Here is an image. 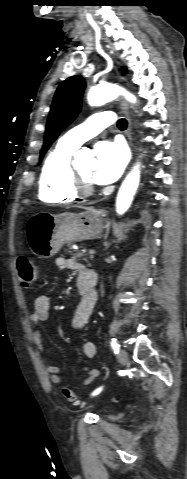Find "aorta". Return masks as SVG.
I'll use <instances>...</instances> for the list:
<instances>
[{"mask_svg":"<svg viewBox=\"0 0 187 479\" xmlns=\"http://www.w3.org/2000/svg\"><path fill=\"white\" fill-rule=\"evenodd\" d=\"M120 94L131 103L136 102V97L124 89L113 85L104 84L93 87L88 92V103L91 106H101L108 101L115 99ZM80 160L81 156L77 157ZM92 169L97 167L95 160L90 161ZM140 181V165L136 164L123 181L116 199V212L124 214L130 207Z\"/></svg>","mask_w":187,"mask_h":479,"instance_id":"aorta-1","label":"aorta"}]
</instances>
